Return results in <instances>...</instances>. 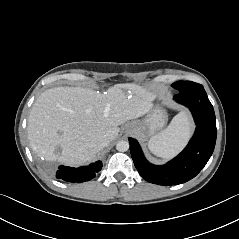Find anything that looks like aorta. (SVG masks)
Returning a JSON list of instances; mask_svg holds the SVG:
<instances>
[{
    "instance_id": "aorta-1",
    "label": "aorta",
    "mask_w": 239,
    "mask_h": 239,
    "mask_svg": "<svg viewBox=\"0 0 239 239\" xmlns=\"http://www.w3.org/2000/svg\"><path fill=\"white\" fill-rule=\"evenodd\" d=\"M116 149L119 152H126L129 149V143L125 140H121L116 144Z\"/></svg>"
}]
</instances>
